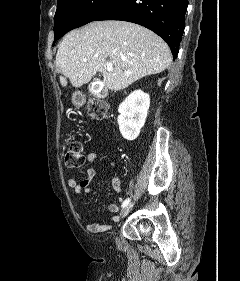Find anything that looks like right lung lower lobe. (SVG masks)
I'll list each match as a JSON object with an SVG mask.
<instances>
[{"instance_id": "right-lung-lower-lobe-1", "label": "right lung lower lobe", "mask_w": 240, "mask_h": 281, "mask_svg": "<svg viewBox=\"0 0 240 281\" xmlns=\"http://www.w3.org/2000/svg\"><path fill=\"white\" fill-rule=\"evenodd\" d=\"M187 6V0H117L95 21L123 20L142 25L166 41L175 59L184 32Z\"/></svg>"}]
</instances>
